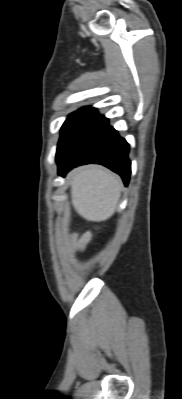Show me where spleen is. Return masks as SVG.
Returning <instances> with one entry per match:
<instances>
[{
  "instance_id": "1",
  "label": "spleen",
  "mask_w": 182,
  "mask_h": 399,
  "mask_svg": "<svg viewBox=\"0 0 182 399\" xmlns=\"http://www.w3.org/2000/svg\"><path fill=\"white\" fill-rule=\"evenodd\" d=\"M121 188L120 178L109 170L98 166L85 167L72 176V204L85 219L104 221L114 214Z\"/></svg>"
}]
</instances>
